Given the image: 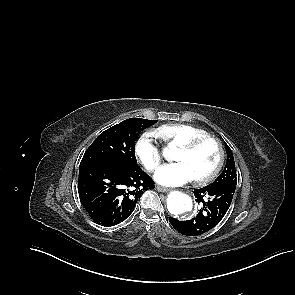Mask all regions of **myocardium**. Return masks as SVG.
I'll return each instance as SVG.
<instances>
[{
	"mask_svg": "<svg viewBox=\"0 0 295 295\" xmlns=\"http://www.w3.org/2000/svg\"><path fill=\"white\" fill-rule=\"evenodd\" d=\"M209 140L215 142V144L217 145L219 158H218L216 166L209 174L203 177L195 178V181L199 184H206L211 182L220 173L225 161V150L221 140L217 138L216 136L207 134V135L197 137L180 147V150L190 153V152H193L195 149H197L202 143Z\"/></svg>",
	"mask_w": 295,
	"mask_h": 295,
	"instance_id": "myocardium-1",
	"label": "myocardium"
}]
</instances>
